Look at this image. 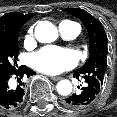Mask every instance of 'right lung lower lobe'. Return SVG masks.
I'll return each instance as SVG.
<instances>
[{
    "instance_id": "right-lung-lower-lobe-1",
    "label": "right lung lower lobe",
    "mask_w": 117,
    "mask_h": 117,
    "mask_svg": "<svg viewBox=\"0 0 117 117\" xmlns=\"http://www.w3.org/2000/svg\"><path fill=\"white\" fill-rule=\"evenodd\" d=\"M24 74L29 77L34 72L25 66L10 72L0 71V108L12 110L21 106L25 95L24 83H20L16 88H10L8 81L12 75L22 78Z\"/></svg>"
}]
</instances>
